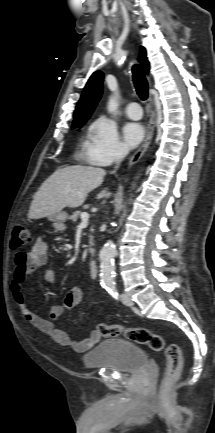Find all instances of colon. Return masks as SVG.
<instances>
[{
	"mask_svg": "<svg viewBox=\"0 0 215 433\" xmlns=\"http://www.w3.org/2000/svg\"><path fill=\"white\" fill-rule=\"evenodd\" d=\"M32 241L28 227L22 223H16L13 227L11 246L14 249L22 248ZM97 332L102 337H117L123 335L130 341L140 345H146L154 351H162L166 362V370L162 382L164 390L180 374L182 370V354L179 345L166 344L163 338L146 328H130L120 324L99 323Z\"/></svg>",
	"mask_w": 215,
	"mask_h": 433,
	"instance_id": "colon-1",
	"label": "colon"
}]
</instances>
